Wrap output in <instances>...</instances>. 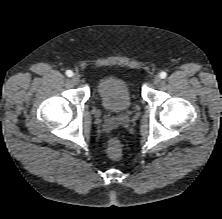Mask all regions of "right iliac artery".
<instances>
[{
	"label": "right iliac artery",
	"instance_id": "obj_1",
	"mask_svg": "<svg viewBox=\"0 0 222 219\" xmlns=\"http://www.w3.org/2000/svg\"><path fill=\"white\" fill-rule=\"evenodd\" d=\"M66 75H67L68 77H71V76L73 75V72H72L71 70H67V71H66Z\"/></svg>",
	"mask_w": 222,
	"mask_h": 219
}]
</instances>
